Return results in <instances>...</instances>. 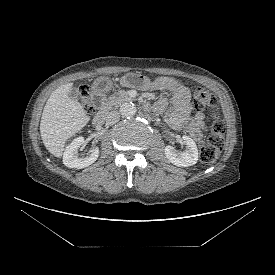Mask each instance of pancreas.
<instances>
[{
	"instance_id": "cf45deb5",
	"label": "pancreas",
	"mask_w": 275,
	"mask_h": 275,
	"mask_svg": "<svg viewBox=\"0 0 275 275\" xmlns=\"http://www.w3.org/2000/svg\"><path fill=\"white\" fill-rule=\"evenodd\" d=\"M133 100L132 97L125 91H114L110 96H108L104 101L103 109L109 110L113 106L117 107L125 101Z\"/></svg>"
}]
</instances>
